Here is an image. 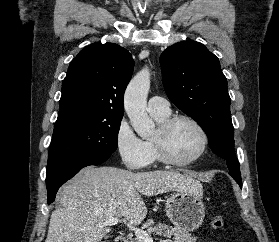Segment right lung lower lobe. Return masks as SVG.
<instances>
[{"instance_id":"right-lung-lower-lobe-1","label":"right lung lower lobe","mask_w":279,"mask_h":242,"mask_svg":"<svg viewBox=\"0 0 279 242\" xmlns=\"http://www.w3.org/2000/svg\"><path fill=\"white\" fill-rule=\"evenodd\" d=\"M110 155L92 154L74 159L50 174H46V187L48 193V204L54 201L59 187L71 179L80 169L89 165H99L105 162Z\"/></svg>"}]
</instances>
